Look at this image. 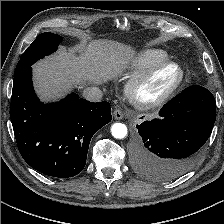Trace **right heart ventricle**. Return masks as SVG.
I'll use <instances>...</instances> for the list:
<instances>
[{
    "label": "right heart ventricle",
    "mask_w": 224,
    "mask_h": 224,
    "mask_svg": "<svg viewBox=\"0 0 224 224\" xmlns=\"http://www.w3.org/2000/svg\"><path fill=\"white\" fill-rule=\"evenodd\" d=\"M168 59V54L161 49H146L140 52L133 60L130 68V74H140L149 67Z\"/></svg>",
    "instance_id": "1"
}]
</instances>
